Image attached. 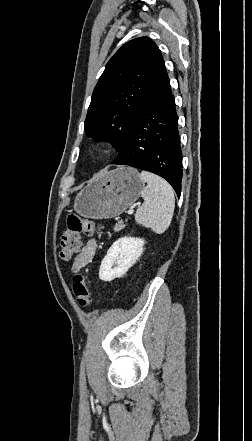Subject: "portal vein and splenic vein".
<instances>
[{
    "mask_svg": "<svg viewBox=\"0 0 252 441\" xmlns=\"http://www.w3.org/2000/svg\"><path fill=\"white\" fill-rule=\"evenodd\" d=\"M133 214V209H129L128 210V215H132Z\"/></svg>",
    "mask_w": 252,
    "mask_h": 441,
    "instance_id": "18ae733b",
    "label": "portal vein and splenic vein"
}]
</instances>
